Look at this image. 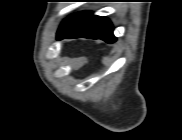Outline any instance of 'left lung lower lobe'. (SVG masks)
Wrapping results in <instances>:
<instances>
[{
  "label": "left lung lower lobe",
  "mask_w": 182,
  "mask_h": 140,
  "mask_svg": "<svg viewBox=\"0 0 182 140\" xmlns=\"http://www.w3.org/2000/svg\"><path fill=\"white\" fill-rule=\"evenodd\" d=\"M80 37L102 39L107 43L116 41V37L113 35V26L111 22L105 17L95 16L93 14H90L67 33L58 36L60 39Z\"/></svg>",
  "instance_id": "left-lung-lower-lobe-1"
}]
</instances>
